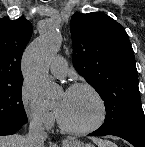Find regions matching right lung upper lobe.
<instances>
[{
  "instance_id": "obj_1",
  "label": "right lung upper lobe",
  "mask_w": 145,
  "mask_h": 147,
  "mask_svg": "<svg viewBox=\"0 0 145 147\" xmlns=\"http://www.w3.org/2000/svg\"><path fill=\"white\" fill-rule=\"evenodd\" d=\"M31 35L32 25L23 16L0 19V85L23 80L20 60Z\"/></svg>"
}]
</instances>
